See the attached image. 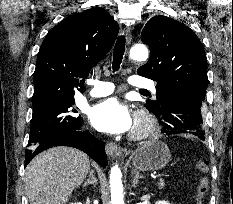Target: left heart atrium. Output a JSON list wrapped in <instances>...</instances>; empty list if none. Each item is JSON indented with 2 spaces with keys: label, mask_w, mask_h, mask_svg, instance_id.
I'll use <instances>...</instances> for the list:
<instances>
[{
  "label": "left heart atrium",
  "mask_w": 233,
  "mask_h": 204,
  "mask_svg": "<svg viewBox=\"0 0 233 204\" xmlns=\"http://www.w3.org/2000/svg\"><path fill=\"white\" fill-rule=\"evenodd\" d=\"M91 124L108 134H120L133 127V118L128 107L118 98H108L94 105L89 112Z\"/></svg>",
  "instance_id": "39dd6f15"
}]
</instances>
